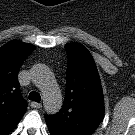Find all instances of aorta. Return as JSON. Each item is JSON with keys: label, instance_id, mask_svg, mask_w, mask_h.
<instances>
[{"label": "aorta", "instance_id": "obj_1", "mask_svg": "<svg viewBox=\"0 0 135 135\" xmlns=\"http://www.w3.org/2000/svg\"><path fill=\"white\" fill-rule=\"evenodd\" d=\"M32 79L43 91L45 111L48 114L58 113L62 97L54 85L50 70L43 64H37L32 69Z\"/></svg>", "mask_w": 135, "mask_h": 135}]
</instances>
